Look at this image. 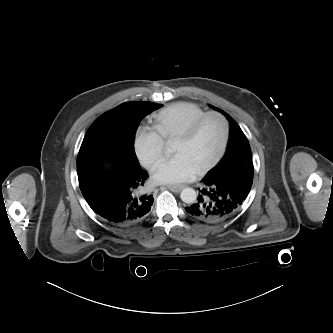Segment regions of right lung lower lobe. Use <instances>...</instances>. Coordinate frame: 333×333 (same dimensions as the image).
<instances>
[{"mask_svg":"<svg viewBox=\"0 0 333 333\" xmlns=\"http://www.w3.org/2000/svg\"><path fill=\"white\" fill-rule=\"evenodd\" d=\"M81 192L91 209L119 226L143 220L153 204L151 194L142 192L148 174L140 166L114 161L109 167L95 160H77Z\"/></svg>","mask_w":333,"mask_h":333,"instance_id":"right-lung-lower-lobe-1","label":"right lung lower lobe"}]
</instances>
